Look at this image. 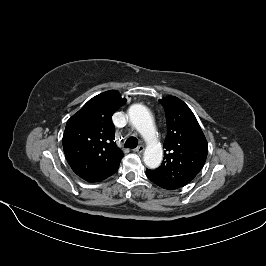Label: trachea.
I'll return each instance as SVG.
<instances>
[{
  "label": "trachea",
  "mask_w": 266,
  "mask_h": 266,
  "mask_svg": "<svg viewBox=\"0 0 266 266\" xmlns=\"http://www.w3.org/2000/svg\"><path fill=\"white\" fill-rule=\"evenodd\" d=\"M138 145V140L135 137H130L125 142V147L127 148H136Z\"/></svg>",
  "instance_id": "obj_1"
}]
</instances>
